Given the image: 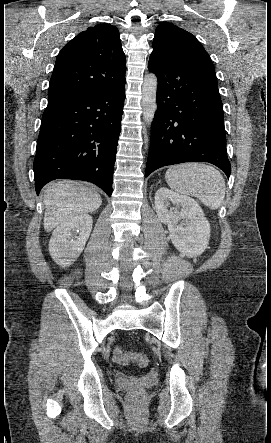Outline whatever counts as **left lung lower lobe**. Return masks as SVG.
Returning a JSON list of instances; mask_svg holds the SVG:
<instances>
[{"label": "left lung lower lobe", "mask_w": 271, "mask_h": 443, "mask_svg": "<svg viewBox=\"0 0 271 443\" xmlns=\"http://www.w3.org/2000/svg\"><path fill=\"white\" fill-rule=\"evenodd\" d=\"M148 69L158 79V107L145 176L167 165L209 162L229 178L223 106L214 68L151 53Z\"/></svg>", "instance_id": "1"}]
</instances>
